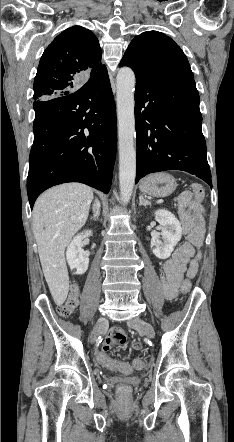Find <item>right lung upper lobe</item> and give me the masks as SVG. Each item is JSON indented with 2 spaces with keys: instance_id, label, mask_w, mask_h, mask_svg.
<instances>
[{
  "instance_id": "1",
  "label": "right lung upper lobe",
  "mask_w": 234,
  "mask_h": 442,
  "mask_svg": "<svg viewBox=\"0 0 234 442\" xmlns=\"http://www.w3.org/2000/svg\"><path fill=\"white\" fill-rule=\"evenodd\" d=\"M102 51L88 29L73 26L59 34L44 51L34 80V99L46 100L74 93L80 78L89 81L107 73Z\"/></svg>"
}]
</instances>
